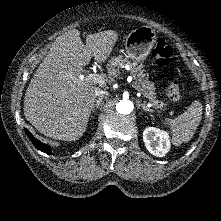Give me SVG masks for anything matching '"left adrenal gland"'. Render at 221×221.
<instances>
[{
  "label": "left adrenal gland",
  "instance_id": "1",
  "mask_svg": "<svg viewBox=\"0 0 221 221\" xmlns=\"http://www.w3.org/2000/svg\"><path fill=\"white\" fill-rule=\"evenodd\" d=\"M141 107L143 108L144 111L146 112H153V110L149 109L145 104H141Z\"/></svg>",
  "mask_w": 221,
  "mask_h": 221
}]
</instances>
